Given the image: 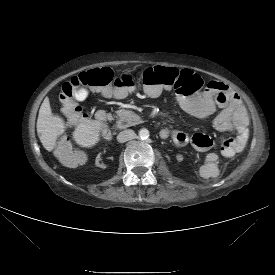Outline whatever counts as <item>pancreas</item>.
<instances>
[{
  "label": "pancreas",
  "mask_w": 275,
  "mask_h": 275,
  "mask_svg": "<svg viewBox=\"0 0 275 275\" xmlns=\"http://www.w3.org/2000/svg\"><path fill=\"white\" fill-rule=\"evenodd\" d=\"M116 126L119 129L134 126L140 123V117L132 110L121 109L116 112Z\"/></svg>",
  "instance_id": "obj_1"
}]
</instances>
